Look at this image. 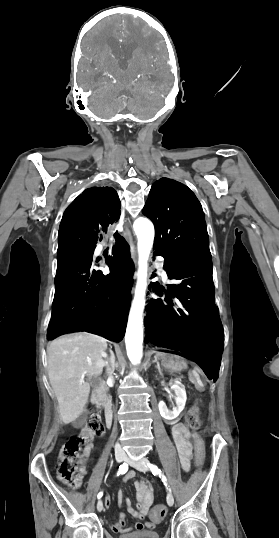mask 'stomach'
<instances>
[{"instance_id": "1", "label": "stomach", "mask_w": 279, "mask_h": 538, "mask_svg": "<svg viewBox=\"0 0 279 538\" xmlns=\"http://www.w3.org/2000/svg\"><path fill=\"white\" fill-rule=\"evenodd\" d=\"M156 358H159L164 368H167V370H174V372L175 370L180 369L182 365L178 353H161V355L156 356Z\"/></svg>"}]
</instances>
